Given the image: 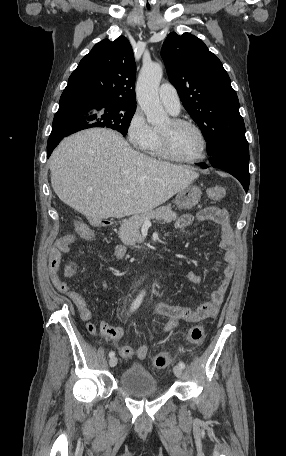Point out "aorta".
I'll use <instances>...</instances> for the list:
<instances>
[{
  "label": "aorta",
  "instance_id": "obj_1",
  "mask_svg": "<svg viewBox=\"0 0 286 456\" xmlns=\"http://www.w3.org/2000/svg\"><path fill=\"white\" fill-rule=\"evenodd\" d=\"M163 76L159 63L143 65L136 86L137 100L144 111L148 123L161 125L168 120L158 95V87Z\"/></svg>",
  "mask_w": 286,
  "mask_h": 456
}]
</instances>
